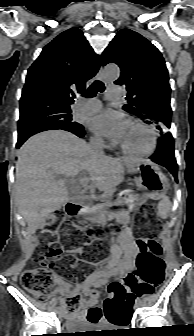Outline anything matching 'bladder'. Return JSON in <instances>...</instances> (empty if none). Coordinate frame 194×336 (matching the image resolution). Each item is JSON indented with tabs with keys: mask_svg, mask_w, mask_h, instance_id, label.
Instances as JSON below:
<instances>
[{
	"mask_svg": "<svg viewBox=\"0 0 194 336\" xmlns=\"http://www.w3.org/2000/svg\"><path fill=\"white\" fill-rule=\"evenodd\" d=\"M87 326V323H84L82 321H77V320H71L68 324H67V329L70 331H79L82 329H85Z\"/></svg>",
	"mask_w": 194,
	"mask_h": 336,
	"instance_id": "bladder-1",
	"label": "bladder"
}]
</instances>
